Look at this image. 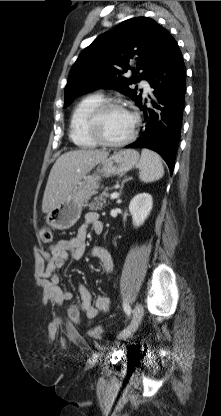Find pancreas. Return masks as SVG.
Returning a JSON list of instances; mask_svg holds the SVG:
<instances>
[{
  "mask_svg": "<svg viewBox=\"0 0 221 416\" xmlns=\"http://www.w3.org/2000/svg\"><path fill=\"white\" fill-rule=\"evenodd\" d=\"M109 197L107 190L96 196L88 205L91 210H101L106 205V199Z\"/></svg>",
  "mask_w": 221,
  "mask_h": 416,
  "instance_id": "cf45deb5",
  "label": "pancreas"
}]
</instances>
